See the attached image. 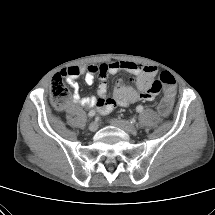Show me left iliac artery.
<instances>
[{"mask_svg": "<svg viewBox=\"0 0 215 215\" xmlns=\"http://www.w3.org/2000/svg\"><path fill=\"white\" fill-rule=\"evenodd\" d=\"M136 111L139 112V113H141V112L143 111V106L138 105V106L136 107Z\"/></svg>", "mask_w": 215, "mask_h": 215, "instance_id": "1", "label": "left iliac artery"}]
</instances>
